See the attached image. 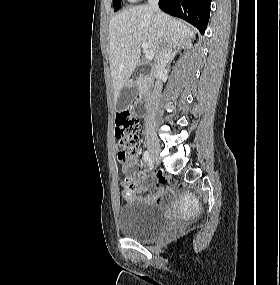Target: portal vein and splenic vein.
<instances>
[{
  "label": "portal vein and splenic vein",
  "instance_id": "portal-vein-and-splenic-vein-1",
  "mask_svg": "<svg viewBox=\"0 0 280 285\" xmlns=\"http://www.w3.org/2000/svg\"><path fill=\"white\" fill-rule=\"evenodd\" d=\"M141 47H142V49L144 51L145 58L148 59V60H152L153 57H154V53L148 49V43L147 42H143L141 44Z\"/></svg>",
  "mask_w": 280,
  "mask_h": 285
}]
</instances>
